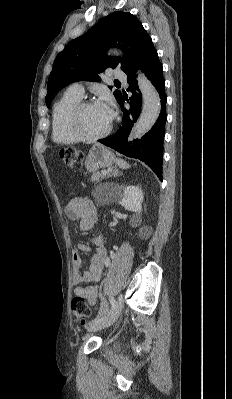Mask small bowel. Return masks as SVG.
Listing matches in <instances>:
<instances>
[{"mask_svg":"<svg viewBox=\"0 0 232 399\" xmlns=\"http://www.w3.org/2000/svg\"><path fill=\"white\" fill-rule=\"evenodd\" d=\"M65 212L68 215L79 217V229L82 231H91L94 228L97 208L96 205L88 198L79 197L72 199L65 207ZM93 242L101 246L104 242L102 235L93 237ZM77 248L80 251H85L88 245L85 241H79ZM70 262L73 266L79 267L81 264L80 256L73 251L69 256ZM106 261V255L103 249H98L91 257L89 268L84 273L76 272L73 275V282L76 284L73 287V295L80 298H86L91 307L97 306V287L95 285L102 275V265ZM83 282H92L89 287H82L79 284Z\"/></svg>","mask_w":232,"mask_h":399,"instance_id":"1","label":"small bowel"}]
</instances>
